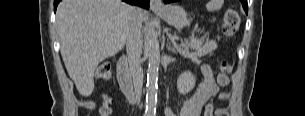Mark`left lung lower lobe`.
Returning a JSON list of instances; mask_svg holds the SVG:
<instances>
[{"mask_svg":"<svg viewBox=\"0 0 305 116\" xmlns=\"http://www.w3.org/2000/svg\"><path fill=\"white\" fill-rule=\"evenodd\" d=\"M164 3H171V2H176V0H163ZM241 3L243 5L244 10L246 11V13L248 12V6H247V0H241Z\"/></svg>","mask_w":305,"mask_h":116,"instance_id":"0a47b994","label":"left lung lower lobe"}]
</instances>
